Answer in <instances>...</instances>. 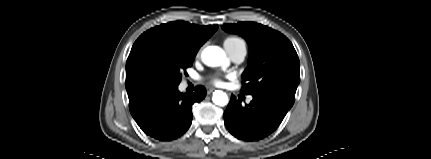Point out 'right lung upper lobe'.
<instances>
[{"label": "right lung upper lobe", "mask_w": 431, "mask_h": 159, "mask_svg": "<svg viewBox=\"0 0 431 159\" xmlns=\"http://www.w3.org/2000/svg\"><path fill=\"white\" fill-rule=\"evenodd\" d=\"M217 29L218 25L199 26L185 21H174L151 28L139 36L132 46L126 62V90L129 100L148 89H152L135 65V55L142 46L158 44L186 53L197 54L199 48Z\"/></svg>", "instance_id": "obj_1"}]
</instances>
